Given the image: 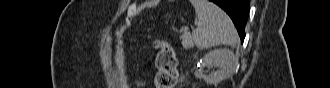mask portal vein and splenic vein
<instances>
[{
  "label": "portal vein and splenic vein",
  "mask_w": 330,
  "mask_h": 88,
  "mask_svg": "<svg viewBox=\"0 0 330 88\" xmlns=\"http://www.w3.org/2000/svg\"><path fill=\"white\" fill-rule=\"evenodd\" d=\"M188 30H189V28H188V27H185V28H184V32H185V33H187V32H188Z\"/></svg>",
  "instance_id": "portal-vein-and-splenic-vein-1"
}]
</instances>
